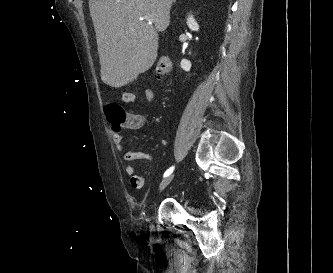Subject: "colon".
<instances>
[{"mask_svg":"<svg viewBox=\"0 0 333 273\" xmlns=\"http://www.w3.org/2000/svg\"><path fill=\"white\" fill-rule=\"evenodd\" d=\"M170 72H171V61L167 57L161 56L158 59L156 65V73L158 78L162 79L168 76ZM105 112L109 122L116 129H120L121 126L126 125L131 120L129 116L123 111V109L116 103L108 104L105 107Z\"/></svg>","mask_w":333,"mask_h":273,"instance_id":"obj_1","label":"colon"}]
</instances>
